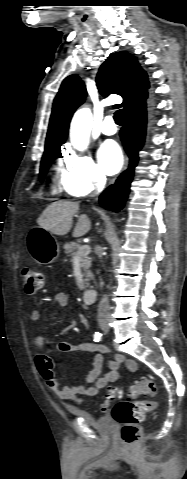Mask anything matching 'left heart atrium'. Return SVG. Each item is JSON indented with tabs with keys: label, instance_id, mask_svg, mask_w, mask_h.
Wrapping results in <instances>:
<instances>
[{
	"label": "left heart atrium",
	"instance_id": "left-heart-atrium-1",
	"mask_svg": "<svg viewBox=\"0 0 187 479\" xmlns=\"http://www.w3.org/2000/svg\"><path fill=\"white\" fill-rule=\"evenodd\" d=\"M99 162L104 171L110 175L120 171L123 165V155L115 142H105L98 151Z\"/></svg>",
	"mask_w": 187,
	"mask_h": 479
}]
</instances>
